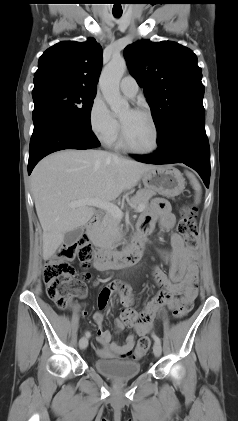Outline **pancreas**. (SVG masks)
<instances>
[{"mask_svg":"<svg viewBox=\"0 0 238 421\" xmlns=\"http://www.w3.org/2000/svg\"><path fill=\"white\" fill-rule=\"evenodd\" d=\"M156 195L153 190L142 189L137 191L129 203L134 207L142 206L144 209L148 206L149 200ZM122 228L120 226V219L114 217L110 213H106L102 220L97 223L92 231V239L99 246L103 248H112L115 243L122 237Z\"/></svg>","mask_w":238,"mask_h":421,"instance_id":"obj_1","label":"pancreas"}]
</instances>
